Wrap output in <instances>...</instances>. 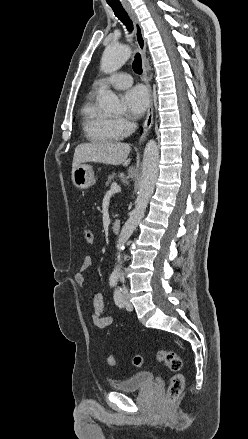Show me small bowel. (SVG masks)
<instances>
[{"mask_svg":"<svg viewBox=\"0 0 248 439\" xmlns=\"http://www.w3.org/2000/svg\"><path fill=\"white\" fill-rule=\"evenodd\" d=\"M92 265L91 257H85L82 261V264L79 268V271L75 274V282L82 287L85 282L84 273L88 270ZM93 313H92V322L93 324L100 328L104 329L110 326L113 322L112 317L105 315L104 310V299L101 293H95L93 296Z\"/></svg>","mask_w":248,"mask_h":439,"instance_id":"c3829d8e","label":"small bowel"}]
</instances>
